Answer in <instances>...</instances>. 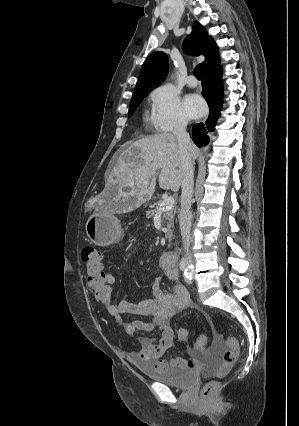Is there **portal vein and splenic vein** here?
Here are the masks:
<instances>
[{"mask_svg":"<svg viewBox=\"0 0 299 426\" xmlns=\"http://www.w3.org/2000/svg\"><path fill=\"white\" fill-rule=\"evenodd\" d=\"M143 184H144V185H147V184H148V182H147V181H145V182H143ZM173 204H174V198H173L172 196H168V197H166V198L163 200V202L160 204V209H159V211L169 210V209H171V208H172Z\"/></svg>","mask_w":299,"mask_h":426,"instance_id":"1","label":"portal vein and splenic vein"}]
</instances>
